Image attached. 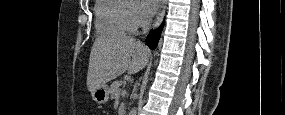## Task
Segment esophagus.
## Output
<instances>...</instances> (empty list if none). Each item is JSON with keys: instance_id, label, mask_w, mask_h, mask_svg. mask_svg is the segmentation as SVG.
Masks as SVG:
<instances>
[{"instance_id": "esophagus-1", "label": "esophagus", "mask_w": 285, "mask_h": 115, "mask_svg": "<svg viewBox=\"0 0 285 115\" xmlns=\"http://www.w3.org/2000/svg\"><path fill=\"white\" fill-rule=\"evenodd\" d=\"M166 4H167V0H162L158 15H157L156 20L153 24V28H155L161 24L163 17H164Z\"/></svg>"}]
</instances>
